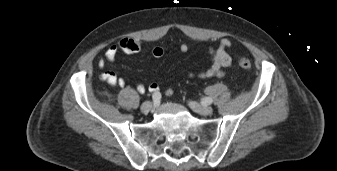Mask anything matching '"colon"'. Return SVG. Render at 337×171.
Returning <instances> with one entry per match:
<instances>
[{
    "label": "colon",
    "instance_id": "5ec220e1",
    "mask_svg": "<svg viewBox=\"0 0 337 171\" xmlns=\"http://www.w3.org/2000/svg\"><path fill=\"white\" fill-rule=\"evenodd\" d=\"M238 64L243 69H249L251 67V61L248 57L240 55L238 57Z\"/></svg>",
    "mask_w": 337,
    "mask_h": 171
}]
</instances>
